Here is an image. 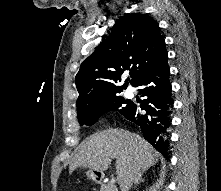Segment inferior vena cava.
Wrapping results in <instances>:
<instances>
[{
    "label": "inferior vena cava",
    "mask_w": 221,
    "mask_h": 191,
    "mask_svg": "<svg viewBox=\"0 0 221 191\" xmlns=\"http://www.w3.org/2000/svg\"><path fill=\"white\" fill-rule=\"evenodd\" d=\"M138 174L137 171H132L128 177L124 180V182L120 185L121 191H129L130 187L132 186V183L134 182V179L136 175Z\"/></svg>",
    "instance_id": "602c4592"
}]
</instances>
